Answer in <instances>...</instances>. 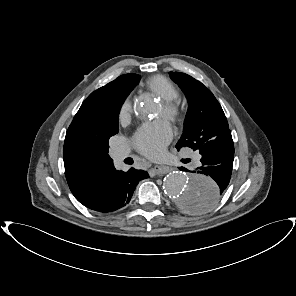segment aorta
<instances>
[{
	"mask_svg": "<svg viewBox=\"0 0 296 296\" xmlns=\"http://www.w3.org/2000/svg\"><path fill=\"white\" fill-rule=\"evenodd\" d=\"M149 104L138 105L136 111L140 115H147ZM163 189L175 206L187 214L206 213L215 206L218 199L216 182L203 175L173 171L165 177Z\"/></svg>",
	"mask_w": 296,
	"mask_h": 296,
	"instance_id": "obj_1",
	"label": "aorta"
}]
</instances>
